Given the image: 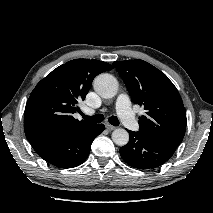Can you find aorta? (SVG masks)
I'll return each instance as SVG.
<instances>
[{
  "instance_id": "1",
  "label": "aorta",
  "mask_w": 213,
  "mask_h": 213,
  "mask_svg": "<svg viewBox=\"0 0 213 213\" xmlns=\"http://www.w3.org/2000/svg\"><path fill=\"white\" fill-rule=\"evenodd\" d=\"M94 89L103 98H113L117 94L118 82L110 74H100L94 80ZM112 140L118 146H125L129 141V134L125 129H115Z\"/></svg>"
}]
</instances>
